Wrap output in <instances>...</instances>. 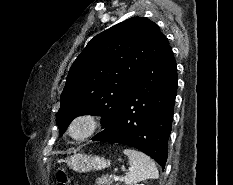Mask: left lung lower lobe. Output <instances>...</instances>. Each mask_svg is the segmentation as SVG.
Instances as JSON below:
<instances>
[{
  "label": "left lung lower lobe",
  "instance_id": "obj_1",
  "mask_svg": "<svg viewBox=\"0 0 233 185\" xmlns=\"http://www.w3.org/2000/svg\"><path fill=\"white\" fill-rule=\"evenodd\" d=\"M177 80L176 61L168 46L138 80L114 123L92 140L135 147L164 168Z\"/></svg>",
  "mask_w": 233,
  "mask_h": 185
}]
</instances>
